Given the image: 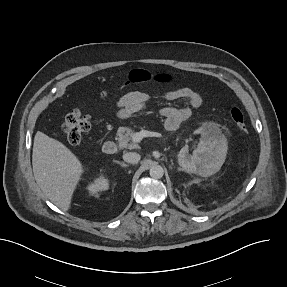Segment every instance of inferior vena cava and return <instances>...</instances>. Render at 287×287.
Segmentation results:
<instances>
[{"instance_id":"inferior-vena-cava-1","label":"inferior vena cava","mask_w":287,"mask_h":287,"mask_svg":"<svg viewBox=\"0 0 287 287\" xmlns=\"http://www.w3.org/2000/svg\"><path fill=\"white\" fill-rule=\"evenodd\" d=\"M141 156L136 152H128L123 155V160L130 164H136L139 162Z\"/></svg>"}]
</instances>
